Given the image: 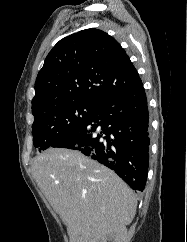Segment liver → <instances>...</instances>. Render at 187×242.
Listing matches in <instances>:
<instances>
[{"label":"liver","instance_id":"6515ba94","mask_svg":"<svg viewBox=\"0 0 187 242\" xmlns=\"http://www.w3.org/2000/svg\"><path fill=\"white\" fill-rule=\"evenodd\" d=\"M38 186L66 224L70 242H93L129 225L134 192L113 171L78 151L51 148L32 163Z\"/></svg>","mask_w":187,"mask_h":242}]
</instances>
